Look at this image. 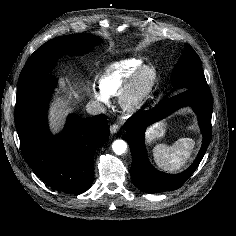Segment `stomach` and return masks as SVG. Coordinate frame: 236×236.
Wrapping results in <instances>:
<instances>
[{
    "label": "stomach",
    "mask_w": 236,
    "mask_h": 236,
    "mask_svg": "<svg viewBox=\"0 0 236 236\" xmlns=\"http://www.w3.org/2000/svg\"><path fill=\"white\" fill-rule=\"evenodd\" d=\"M166 134V124L164 122H157L153 124L146 133L147 143L151 144L163 138Z\"/></svg>",
    "instance_id": "1"
}]
</instances>
